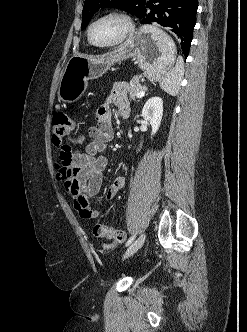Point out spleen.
I'll use <instances>...</instances> for the list:
<instances>
[{
  "instance_id": "1",
  "label": "spleen",
  "mask_w": 247,
  "mask_h": 332,
  "mask_svg": "<svg viewBox=\"0 0 247 332\" xmlns=\"http://www.w3.org/2000/svg\"><path fill=\"white\" fill-rule=\"evenodd\" d=\"M184 73V62L182 57H178L176 65L160 81V87L166 93L176 96L180 90V82Z\"/></svg>"
}]
</instances>
